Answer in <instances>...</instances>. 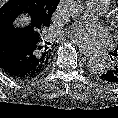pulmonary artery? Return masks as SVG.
<instances>
[{"label":"pulmonary artery","mask_w":118,"mask_h":118,"mask_svg":"<svg viewBox=\"0 0 118 118\" xmlns=\"http://www.w3.org/2000/svg\"><path fill=\"white\" fill-rule=\"evenodd\" d=\"M105 7L97 0H89L87 4V11L90 15H100L105 12Z\"/></svg>","instance_id":"pulmonary-artery-1"}]
</instances>
